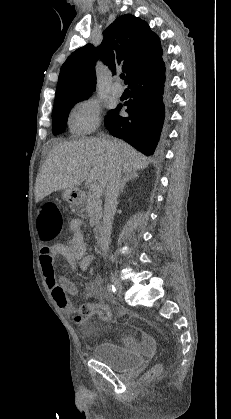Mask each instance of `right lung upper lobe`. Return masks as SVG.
Wrapping results in <instances>:
<instances>
[{"mask_svg":"<svg viewBox=\"0 0 231 419\" xmlns=\"http://www.w3.org/2000/svg\"><path fill=\"white\" fill-rule=\"evenodd\" d=\"M159 37L144 20L130 14L118 17L104 31L101 45L87 44L74 51L61 67L55 102L90 95L95 88L96 56L116 73H126L125 83L162 59Z\"/></svg>","mask_w":231,"mask_h":419,"instance_id":"1","label":"right lung upper lobe"}]
</instances>
